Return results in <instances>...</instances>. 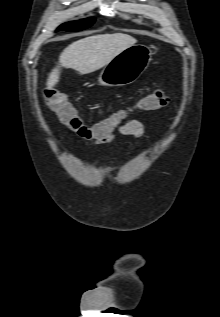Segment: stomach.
Segmentation results:
<instances>
[{
    "label": "stomach",
    "instance_id": "1",
    "mask_svg": "<svg viewBox=\"0 0 220 317\" xmlns=\"http://www.w3.org/2000/svg\"><path fill=\"white\" fill-rule=\"evenodd\" d=\"M152 59L145 45H133L115 56L101 71L98 82L103 86H125L135 82Z\"/></svg>",
    "mask_w": 220,
    "mask_h": 317
}]
</instances>
